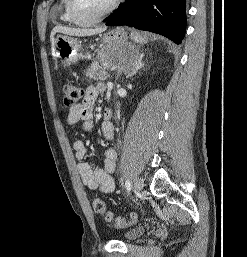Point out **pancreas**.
Instances as JSON below:
<instances>
[{
	"label": "pancreas",
	"instance_id": "pancreas-1",
	"mask_svg": "<svg viewBox=\"0 0 247 257\" xmlns=\"http://www.w3.org/2000/svg\"><path fill=\"white\" fill-rule=\"evenodd\" d=\"M111 65L105 64V62L94 61L91 66L86 71V76L89 79L93 80H105L109 77V74L106 72Z\"/></svg>",
	"mask_w": 247,
	"mask_h": 257
}]
</instances>
